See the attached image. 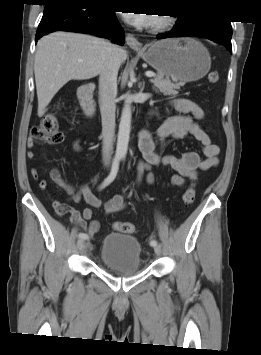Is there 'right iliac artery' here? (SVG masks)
<instances>
[{
    "label": "right iliac artery",
    "mask_w": 261,
    "mask_h": 355,
    "mask_svg": "<svg viewBox=\"0 0 261 355\" xmlns=\"http://www.w3.org/2000/svg\"><path fill=\"white\" fill-rule=\"evenodd\" d=\"M119 161L120 158L119 157H115L112 163V168H111V172L108 175V177L103 181V183L100 186V189L105 188L106 186H108L116 177L118 169H119ZM78 237L82 240H87L89 237L86 233H79Z\"/></svg>",
    "instance_id": "1"
}]
</instances>
